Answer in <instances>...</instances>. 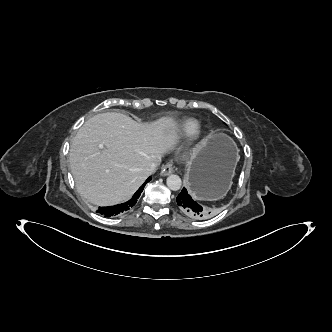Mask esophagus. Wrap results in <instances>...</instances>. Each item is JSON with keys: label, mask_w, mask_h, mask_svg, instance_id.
<instances>
[{"label": "esophagus", "mask_w": 332, "mask_h": 332, "mask_svg": "<svg viewBox=\"0 0 332 332\" xmlns=\"http://www.w3.org/2000/svg\"><path fill=\"white\" fill-rule=\"evenodd\" d=\"M173 172H174V166H173V164L172 163H167L166 165H164L162 167L160 175L161 176H167V175H169V174H171Z\"/></svg>", "instance_id": "esophagus-1"}]
</instances>
